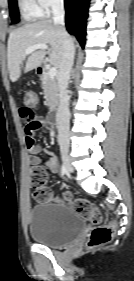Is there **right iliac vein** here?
Masks as SVG:
<instances>
[{"instance_id":"63e3f726","label":"right iliac vein","mask_w":134,"mask_h":281,"mask_svg":"<svg viewBox=\"0 0 134 281\" xmlns=\"http://www.w3.org/2000/svg\"><path fill=\"white\" fill-rule=\"evenodd\" d=\"M61 155H62L64 165L66 167L67 174L70 175L73 172V167H72V164L70 161L67 147H61Z\"/></svg>"}]
</instances>
